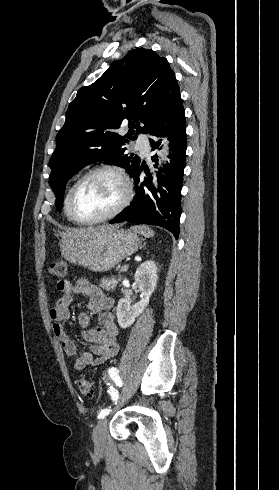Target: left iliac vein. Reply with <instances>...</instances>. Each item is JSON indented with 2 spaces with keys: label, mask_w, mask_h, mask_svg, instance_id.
Instances as JSON below:
<instances>
[{
  "label": "left iliac vein",
  "mask_w": 279,
  "mask_h": 490,
  "mask_svg": "<svg viewBox=\"0 0 279 490\" xmlns=\"http://www.w3.org/2000/svg\"><path fill=\"white\" fill-rule=\"evenodd\" d=\"M107 426L108 422L106 418H102L98 421L94 430V450L96 453H102L106 447L107 440Z\"/></svg>",
  "instance_id": "4c4485c4"
}]
</instances>
